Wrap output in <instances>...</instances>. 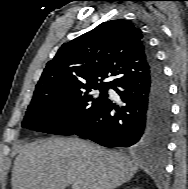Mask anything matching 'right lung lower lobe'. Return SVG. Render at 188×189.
Wrapping results in <instances>:
<instances>
[{"mask_svg":"<svg viewBox=\"0 0 188 189\" xmlns=\"http://www.w3.org/2000/svg\"><path fill=\"white\" fill-rule=\"evenodd\" d=\"M149 71L114 87L125 104L121 109L106 98L94 116L75 135L105 147H149L162 153L170 134L169 88L153 52L148 51ZM116 113H113V111Z\"/></svg>","mask_w":188,"mask_h":189,"instance_id":"right-lung-lower-lobe-1","label":"right lung lower lobe"}]
</instances>
